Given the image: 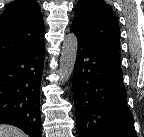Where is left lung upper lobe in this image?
<instances>
[{"label":"left lung upper lobe","mask_w":144,"mask_h":137,"mask_svg":"<svg viewBox=\"0 0 144 137\" xmlns=\"http://www.w3.org/2000/svg\"><path fill=\"white\" fill-rule=\"evenodd\" d=\"M72 28L94 47L121 57L118 21L112 7L105 1L79 0Z\"/></svg>","instance_id":"5c2ea615"}]
</instances>
